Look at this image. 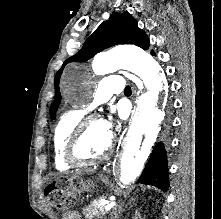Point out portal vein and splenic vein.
<instances>
[{
	"mask_svg": "<svg viewBox=\"0 0 221 219\" xmlns=\"http://www.w3.org/2000/svg\"><path fill=\"white\" fill-rule=\"evenodd\" d=\"M102 204H103V205H106V206H104V209H105L106 211H110V210H111V207L114 206L113 203H112V204H107V203L103 202Z\"/></svg>",
	"mask_w": 221,
	"mask_h": 219,
	"instance_id": "1",
	"label": "portal vein and splenic vein"
}]
</instances>
